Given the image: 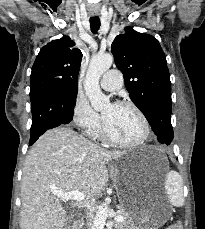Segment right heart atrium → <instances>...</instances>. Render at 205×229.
I'll return each instance as SVG.
<instances>
[{"label":"right heart atrium","instance_id":"obj_1","mask_svg":"<svg viewBox=\"0 0 205 229\" xmlns=\"http://www.w3.org/2000/svg\"><path fill=\"white\" fill-rule=\"evenodd\" d=\"M72 120L78 128L91 134L97 130L101 123L100 115L81 94H78L74 100L72 107Z\"/></svg>","mask_w":205,"mask_h":229}]
</instances>
